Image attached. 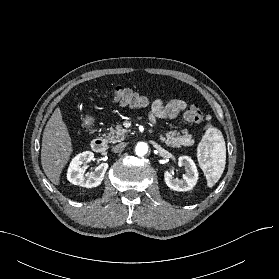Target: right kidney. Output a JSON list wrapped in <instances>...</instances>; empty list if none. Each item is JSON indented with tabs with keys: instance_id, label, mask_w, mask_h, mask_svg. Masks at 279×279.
<instances>
[{
	"instance_id": "right-kidney-1",
	"label": "right kidney",
	"mask_w": 279,
	"mask_h": 279,
	"mask_svg": "<svg viewBox=\"0 0 279 279\" xmlns=\"http://www.w3.org/2000/svg\"><path fill=\"white\" fill-rule=\"evenodd\" d=\"M94 154L91 151H85L76 155L70 162L67 179L74 185H79L86 188H94L101 184L104 179L105 172L108 168L107 163H101L95 168L94 172L84 175L83 166L92 161Z\"/></svg>"
}]
</instances>
